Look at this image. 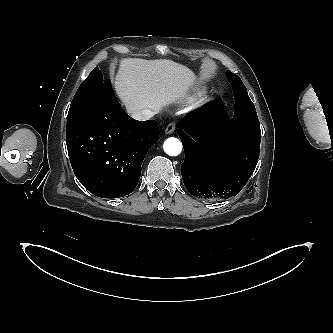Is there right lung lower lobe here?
<instances>
[{
    "instance_id": "98d812e1",
    "label": "right lung lower lobe",
    "mask_w": 333,
    "mask_h": 333,
    "mask_svg": "<svg viewBox=\"0 0 333 333\" xmlns=\"http://www.w3.org/2000/svg\"><path fill=\"white\" fill-rule=\"evenodd\" d=\"M158 137L157 122L131 118L109 84L85 114L67 125L66 143L81 184L96 196L116 198L135 189L143 159Z\"/></svg>"
}]
</instances>
